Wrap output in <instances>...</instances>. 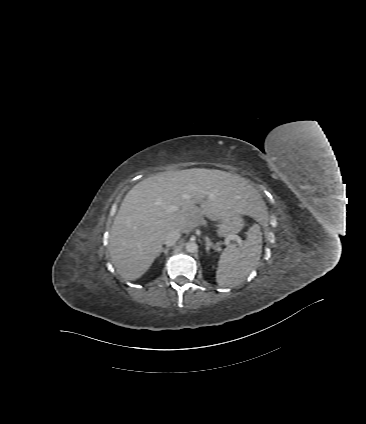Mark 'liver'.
Returning a JSON list of instances; mask_svg holds the SVG:
<instances>
[{"label":"liver","mask_w":366,"mask_h":424,"mask_svg":"<svg viewBox=\"0 0 366 424\" xmlns=\"http://www.w3.org/2000/svg\"><path fill=\"white\" fill-rule=\"evenodd\" d=\"M169 206L179 210L167 213ZM265 210L261 195L239 175L205 168L154 175L126 194L111 228V261L124 279L136 280L152 265L168 232L188 234L204 217L261 220Z\"/></svg>","instance_id":"liver-1"}]
</instances>
